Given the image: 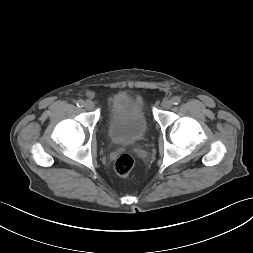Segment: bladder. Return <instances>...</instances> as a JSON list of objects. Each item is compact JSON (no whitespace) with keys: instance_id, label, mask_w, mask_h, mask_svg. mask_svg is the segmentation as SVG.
I'll return each instance as SVG.
<instances>
[{"instance_id":"obj_1","label":"bladder","mask_w":253,"mask_h":253,"mask_svg":"<svg viewBox=\"0 0 253 253\" xmlns=\"http://www.w3.org/2000/svg\"><path fill=\"white\" fill-rule=\"evenodd\" d=\"M147 119L140 102L126 93L117 94L107 119V135L116 145H134L147 133Z\"/></svg>"}]
</instances>
